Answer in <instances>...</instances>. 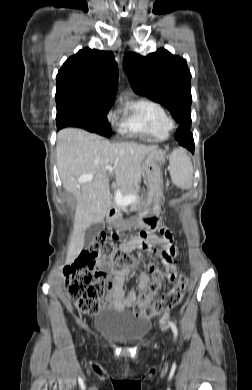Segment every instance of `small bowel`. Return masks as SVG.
<instances>
[{"instance_id":"obj_1","label":"small bowel","mask_w":252,"mask_h":390,"mask_svg":"<svg viewBox=\"0 0 252 390\" xmlns=\"http://www.w3.org/2000/svg\"><path fill=\"white\" fill-rule=\"evenodd\" d=\"M145 234L142 232L140 235L132 238L126 242L123 248L127 251L134 250L136 248L143 247V236ZM151 246L154 249H151L152 252L157 253L163 260L165 269H169L172 266L175 270L174 259L177 257V249L174 245L173 236L171 232L166 229L161 230L160 235H149ZM165 255L171 257V261H165ZM99 268L106 272V285H107V295L104 299V307L106 309L114 308L118 311H123L125 309L132 308L137 302V293L136 292H125L124 284L126 279L133 274L131 270H118L107 264L104 261L98 262ZM137 287L140 291H143L147 288L149 284V277L145 273L136 274ZM172 280V279H169ZM164 317H167L165 314Z\"/></svg>"}]
</instances>
